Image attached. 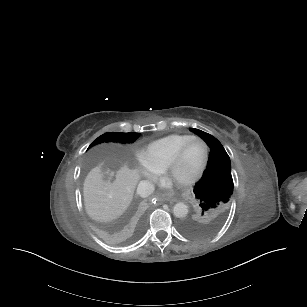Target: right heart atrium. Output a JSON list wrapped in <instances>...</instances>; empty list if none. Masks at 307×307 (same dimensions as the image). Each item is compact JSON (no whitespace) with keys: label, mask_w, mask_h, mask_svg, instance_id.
<instances>
[{"label":"right heart atrium","mask_w":307,"mask_h":307,"mask_svg":"<svg viewBox=\"0 0 307 307\" xmlns=\"http://www.w3.org/2000/svg\"><path fill=\"white\" fill-rule=\"evenodd\" d=\"M141 171H142L143 174H145V175H147V176H149V177H151V178H154V179H155V178L157 177V175H158V172H157V171L151 169V168L148 167L147 165H144V166L142 167Z\"/></svg>","instance_id":"1"}]
</instances>
